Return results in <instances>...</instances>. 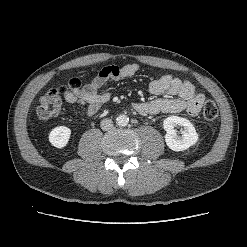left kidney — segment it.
Wrapping results in <instances>:
<instances>
[{
  "mask_svg": "<svg viewBox=\"0 0 247 247\" xmlns=\"http://www.w3.org/2000/svg\"><path fill=\"white\" fill-rule=\"evenodd\" d=\"M177 125L183 128L181 131L182 136H178L174 129ZM163 128L166 131L165 142L173 151H184L198 141L195 127L186 118L178 116L167 117L163 122Z\"/></svg>",
  "mask_w": 247,
  "mask_h": 247,
  "instance_id": "5707ae66",
  "label": "left kidney"
}]
</instances>
